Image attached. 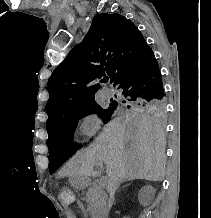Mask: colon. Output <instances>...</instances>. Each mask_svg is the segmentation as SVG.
<instances>
[{
	"label": "colon",
	"instance_id": "5ec220e1",
	"mask_svg": "<svg viewBox=\"0 0 211 218\" xmlns=\"http://www.w3.org/2000/svg\"><path fill=\"white\" fill-rule=\"evenodd\" d=\"M59 198L63 202H71L74 200L73 192L70 187L68 186H62L59 189Z\"/></svg>",
	"mask_w": 211,
	"mask_h": 218
}]
</instances>
